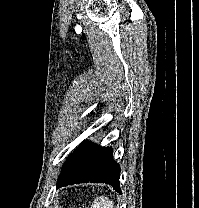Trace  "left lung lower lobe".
<instances>
[{"label":"left lung lower lobe","mask_w":199,"mask_h":208,"mask_svg":"<svg viewBox=\"0 0 199 208\" xmlns=\"http://www.w3.org/2000/svg\"><path fill=\"white\" fill-rule=\"evenodd\" d=\"M112 148H102L84 141L64 163L57 181V188L82 182H103L121 193L120 166L112 157Z\"/></svg>","instance_id":"left-lung-lower-lobe-1"}]
</instances>
